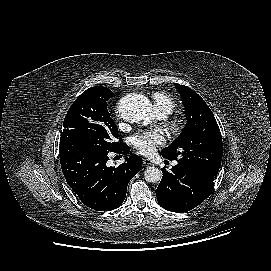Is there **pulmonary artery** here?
<instances>
[{
  "label": "pulmonary artery",
  "instance_id": "e3ab8cb5",
  "mask_svg": "<svg viewBox=\"0 0 271 271\" xmlns=\"http://www.w3.org/2000/svg\"><path fill=\"white\" fill-rule=\"evenodd\" d=\"M159 115H160V117H165V114H163V113H159ZM174 164H176V162Z\"/></svg>",
  "mask_w": 271,
  "mask_h": 271
}]
</instances>
